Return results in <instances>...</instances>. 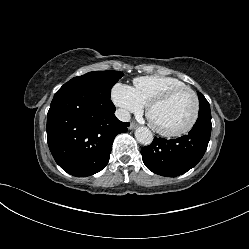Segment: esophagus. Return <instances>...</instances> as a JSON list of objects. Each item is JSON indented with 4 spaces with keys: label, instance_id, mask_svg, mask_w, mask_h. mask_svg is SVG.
<instances>
[{
    "label": "esophagus",
    "instance_id": "34e87169",
    "mask_svg": "<svg viewBox=\"0 0 249 249\" xmlns=\"http://www.w3.org/2000/svg\"><path fill=\"white\" fill-rule=\"evenodd\" d=\"M137 126H138V125H137L135 122H132V123L130 124V126H129V129H130V130H133V129H135Z\"/></svg>",
    "mask_w": 249,
    "mask_h": 249
}]
</instances>
